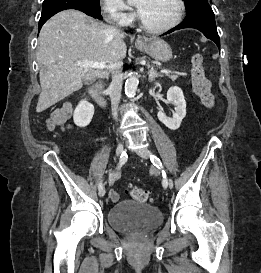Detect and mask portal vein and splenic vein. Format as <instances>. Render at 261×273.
Instances as JSON below:
<instances>
[{"instance_id":"portal-vein-and-splenic-vein-1","label":"portal vein and splenic vein","mask_w":261,"mask_h":273,"mask_svg":"<svg viewBox=\"0 0 261 273\" xmlns=\"http://www.w3.org/2000/svg\"><path fill=\"white\" fill-rule=\"evenodd\" d=\"M76 65L84 68L85 70H88L91 68L104 69L107 67L102 62L98 63V62H92V61H77ZM161 72L162 73H170L171 71L166 70V69H162Z\"/></svg>"}]
</instances>
